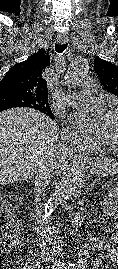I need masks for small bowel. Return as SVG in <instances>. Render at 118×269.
Segmentation results:
<instances>
[{
	"label": "small bowel",
	"mask_w": 118,
	"mask_h": 269,
	"mask_svg": "<svg viewBox=\"0 0 118 269\" xmlns=\"http://www.w3.org/2000/svg\"><path fill=\"white\" fill-rule=\"evenodd\" d=\"M112 214L114 216L118 215V192L112 195ZM112 240L114 242L118 241V231L112 234ZM92 246L97 250L105 252L107 259L118 265V252L109 242L100 237H94L92 239Z\"/></svg>",
	"instance_id": "1"
}]
</instances>
